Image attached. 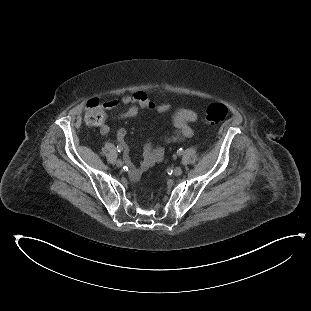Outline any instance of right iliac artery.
Here are the masks:
<instances>
[{"instance_id": "right-iliac-artery-1", "label": "right iliac artery", "mask_w": 311, "mask_h": 311, "mask_svg": "<svg viewBox=\"0 0 311 311\" xmlns=\"http://www.w3.org/2000/svg\"><path fill=\"white\" fill-rule=\"evenodd\" d=\"M117 151L118 152H122L123 151V147L121 145H117Z\"/></svg>"}]
</instances>
